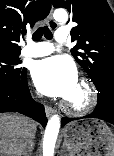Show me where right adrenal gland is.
Returning <instances> with one entry per match:
<instances>
[{"instance_id": "obj_1", "label": "right adrenal gland", "mask_w": 114, "mask_h": 156, "mask_svg": "<svg viewBox=\"0 0 114 156\" xmlns=\"http://www.w3.org/2000/svg\"><path fill=\"white\" fill-rule=\"evenodd\" d=\"M34 148V142L32 141L31 147L23 151V156H27L29 151H32Z\"/></svg>"}]
</instances>
